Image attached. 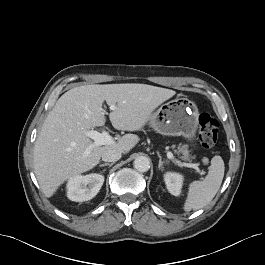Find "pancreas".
Instances as JSON below:
<instances>
[{"instance_id": "cf45deb5", "label": "pancreas", "mask_w": 265, "mask_h": 265, "mask_svg": "<svg viewBox=\"0 0 265 265\" xmlns=\"http://www.w3.org/2000/svg\"><path fill=\"white\" fill-rule=\"evenodd\" d=\"M174 153H176L177 155H180V158L184 161L191 160L190 151L188 150L187 145L179 144L177 149L174 150Z\"/></svg>"}]
</instances>
